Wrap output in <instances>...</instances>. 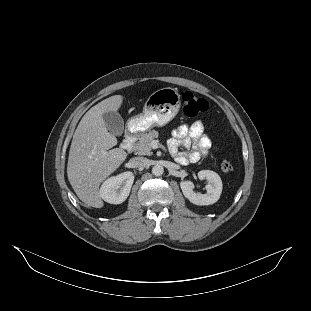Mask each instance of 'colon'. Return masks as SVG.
Here are the masks:
<instances>
[{
    "mask_svg": "<svg viewBox=\"0 0 311 311\" xmlns=\"http://www.w3.org/2000/svg\"><path fill=\"white\" fill-rule=\"evenodd\" d=\"M182 108L187 117H195L208 108L207 101L192 92H185L182 96ZM234 168L233 163L230 160H223L221 163V169L224 172L232 171Z\"/></svg>",
    "mask_w": 311,
    "mask_h": 311,
    "instance_id": "colon-1",
    "label": "colon"
}]
</instances>
